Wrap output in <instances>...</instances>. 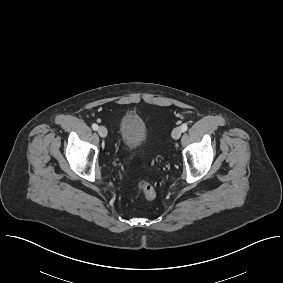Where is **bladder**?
Instances as JSON below:
<instances>
[{
    "mask_svg": "<svg viewBox=\"0 0 283 283\" xmlns=\"http://www.w3.org/2000/svg\"><path fill=\"white\" fill-rule=\"evenodd\" d=\"M119 135L124 146L132 151L138 150L147 140L146 124L135 114H125L119 123Z\"/></svg>",
    "mask_w": 283,
    "mask_h": 283,
    "instance_id": "bladder-1",
    "label": "bladder"
}]
</instances>
